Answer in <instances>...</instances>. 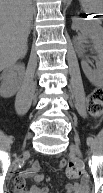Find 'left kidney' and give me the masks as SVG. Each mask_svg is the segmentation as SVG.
I'll use <instances>...</instances> for the list:
<instances>
[{"mask_svg":"<svg viewBox=\"0 0 103 193\" xmlns=\"http://www.w3.org/2000/svg\"><path fill=\"white\" fill-rule=\"evenodd\" d=\"M72 29L83 30L85 34L92 33L93 29L90 28L87 24L82 22L78 18H72ZM94 49L98 55V64L96 68H91L87 61L83 60L81 62L82 70L86 77L94 83L102 82L103 80V41L98 35H92Z\"/></svg>","mask_w":103,"mask_h":193,"instance_id":"left-kidney-1","label":"left kidney"}]
</instances>
